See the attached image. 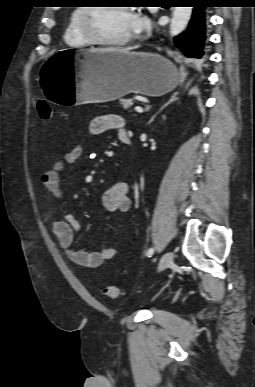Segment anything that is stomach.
Returning <instances> with one entry per match:
<instances>
[{
  "label": "stomach",
  "mask_w": 255,
  "mask_h": 387,
  "mask_svg": "<svg viewBox=\"0 0 255 387\" xmlns=\"http://www.w3.org/2000/svg\"><path fill=\"white\" fill-rule=\"evenodd\" d=\"M38 81L50 104L86 108L128 93L161 96L178 84V70L166 58L145 52H99L66 46L42 65Z\"/></svg>",
  "instance_id": "obj_1"
}]
</instances>
